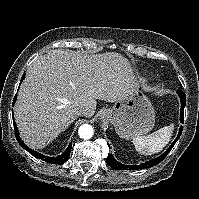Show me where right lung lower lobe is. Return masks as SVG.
<instances>
[{"label":"right lung lower lobe","instance_id":"right-lung-lower-lobe-1","mask_svg":"<svg viewBox=\"0 0 199 199\" xmlns=\"http://www.w3.org/2000/svg\"><path fill=\"white\" fill-rule=\"evenodd\" d=\"M25 78V73L23 74L22 76V80ZM15 100H16V96L14 98V101H13V104L15 103ZM13 115V114H12ZM14 129H15V136H16V139L18 141V143L20 144V146L22 148H24L25 150H27L29 153H31L33 156L43 160V161H46L48 163H52V164H61V163H64L68 160L69 156H70V150H71V147H72V144H69L68 145V148L65 150V152H63L61 155L57 156V157H48V156H44L34 150H31L29 147H27L24 142L20 139V136H19V133H18V129L15 125V122H14Z\"/></svg>","mask_w":199,"mask_h":199}]
</instances>
